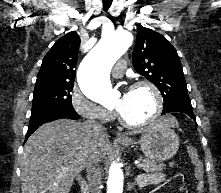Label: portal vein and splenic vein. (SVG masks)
Returning a JSON list of instances; mask_svg holds the SVG:
<instances>
[{"label": "portal vein and splenic vein", "instance_id": "obj_1", "mask_svg": "<svg viewBox=\"0 0 221 193\" xmlns=\"http://www.w3.org/2000/svg\"><path fill=\"white\" fill-rule=\"evenodd\" d=\"M136 166H137V168H141L143 166V164L142 163H136ZM62 170L63 171H68L69 169L68 168H63Z\"/></svg>", "mask_w": 221, "mask_h": 193}]
</instances>
